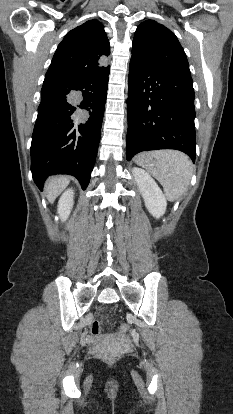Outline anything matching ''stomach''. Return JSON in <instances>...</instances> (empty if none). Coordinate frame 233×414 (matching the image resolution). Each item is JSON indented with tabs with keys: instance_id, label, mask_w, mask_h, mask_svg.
Segmentation results:
<instances>
[{
	"instance_id": "1",
	"label": "stomach",
	"mask_w": 233,
	"mask_h": 414,
	"mask_svg": "<svg viewBox=\"0 0 233 414\" xmlns=\"http://www.w3.org/2000/svg\"><path fill=\"white\" fill-rule=\"evenodd\" d=\"M151 153H144L140 155V158L148 163H153L154 159L150 156Z\"/></svg>"
}]
</instances>
